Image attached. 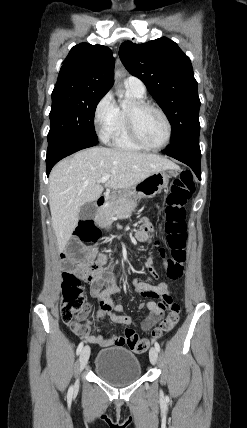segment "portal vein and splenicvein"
<instances>
[{"label":"portal vein and splenic vein","instance_id":"1","mask_svg":"<svg viewBox=\"0 0 247 428\" xmlns=\"http://www.w3.org/2000/svg\"><path fill=\"white\" fill-rule=\"evenodd\" d=\"M109 175L103 176L100 180L101 183H105L109 179Z\"/></svg>","mask_w":247,"mask_h":428}]
</instances>
